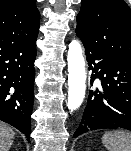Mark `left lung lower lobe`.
I'll return each mask as SVG.
<instances>
[{
    "label": "left lung lower lobe",
    "instance_id": "1",
    "mask_svg": "<svg viewBox=\"0 0 131 151\" xmlns=\"http://www.w3.org/2000/svg\"><path fill=\"white\" fill-rule=\"evenodd\" d=\"M83 42V41H82ZM91 74L100 86L91 90L74 137L101 129L131 131V64L84 43Z\"/></svg>",
    "mask_w": 131,
    "mask_h": 151
}]
</instances>
